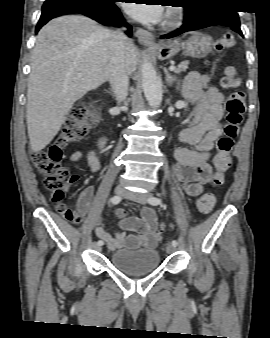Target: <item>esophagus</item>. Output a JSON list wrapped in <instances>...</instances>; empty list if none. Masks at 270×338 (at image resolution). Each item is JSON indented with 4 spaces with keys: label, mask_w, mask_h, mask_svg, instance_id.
Listing matches in <instances>:
<instances>
[{
    "label": "esophagus",
    "mask_w": 270,
    "mask_h": 338,
    "mask_svg": "<svg viewBox=\"0 0 270 338\" xmlns=\"http://www.w3.org/2000/svg\"><path fill=\"white\" fill-rule=\"evenodd\" d=\"M135 36L138 38V41L145 46L155 47L157 45L154 36L145 29L137 28Z\"/></svg>",
    "instance_id": "obj_1"
}]
</instances>
